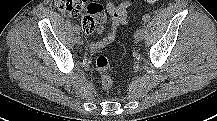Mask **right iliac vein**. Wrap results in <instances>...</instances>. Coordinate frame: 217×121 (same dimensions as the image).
<instances>
[{
	"label": "right iliac vein",
	"mask_w": 217,
	"mask_h": 121,
	"mask_svg": "<svg viewBox=\"0 0 217 121\" xmlns=\"http://www.w3.org/2000/svg\"><path fill=\"white\" fill-rule=\"evenodd\" d=\"M75 41L78 45H83V39L79 36L75 37Z\"/></svg>",
	"instance_id": "63e3f726"
}]
</instances>
